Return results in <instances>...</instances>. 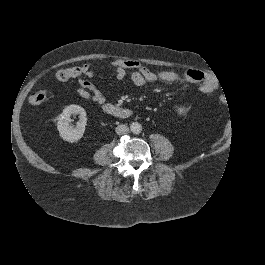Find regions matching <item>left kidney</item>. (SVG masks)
<instances>
[{"label":"left kidney","instance_id":"obj_1","mask_svg":"<svg viewBox=\"0 0 265 265\" xmlns=\"http://www.w3.org/2000/svg\"><path fill=\"white\" fill-rule=\"evenodd\" d=\"M177 112H178V114H184L185 113V109L183 108V107H179V108H177Z\"/></svg>","mask_w":265,"mask_h":265}]
</instances>
